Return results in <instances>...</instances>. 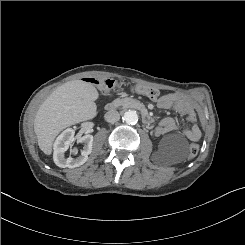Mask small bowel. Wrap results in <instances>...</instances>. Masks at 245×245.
Returning <instances> with one entry per match:
<instances>
[{
    "label": "small bowel",
    "instance_id": "c3829d8e",
    "mask_svg": "<svg viewBox=\"0 0 245 245\" xmlns=\"http://www.w3.org/2000/svg\"><path fill=\"white\" fill-rule=\"evenodd\" d=\"M157 103L162 109H173L186 116V120L190 124V127L184 131V135L189 140L198 141L201 138L202 131L197 124L196 114L191 104L184 96L179 93H170L159 98ZM177 127L178 122L175 119L169 117L163 118L155 128V134L161 136L176 130Z\"/></svg>",
    "mask_w": 245,
    "mask_h": 245
}]
</instances>
